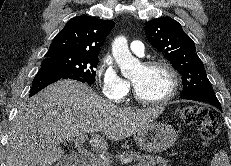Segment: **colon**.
<instances>
[{
  "instance_id": "obj_1",
  "label": "colon",
  "mask_w": 231,
  "mask_h": 166,
  "mask_svg": "<svg viewBox=\"0 0 231 166\" xmlns=\"http://www.w3.org/2000/svg\"><path fill=\"white\" fill-rule=\"evenodd\" d=\"M177 115L186 125L197 128L204 144H210L217 137L218 125L208 108L198 105H182L177 108ZM57 166H62V164Z\"/></svg>"
}]
</instances>
